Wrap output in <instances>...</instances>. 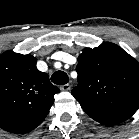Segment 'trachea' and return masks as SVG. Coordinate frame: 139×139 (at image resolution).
<instances>
[{
  "instance_id": "3493384b",
  "label": "trachea",
  "mask_w": 139,
  "mask_h": 139,
  "mask_svg": "<svg viewBox=\"0 0 139 139\" xmlns=\"http://www.w3.org/2000/svg\"><path fill=\"white\" fill-rule=\"evenodd\" d=\"M51 81L57 85H64L68 83V75L63 71H57L51 76Z\"/></svg>"
}]
</instances>
